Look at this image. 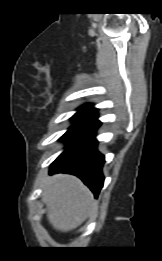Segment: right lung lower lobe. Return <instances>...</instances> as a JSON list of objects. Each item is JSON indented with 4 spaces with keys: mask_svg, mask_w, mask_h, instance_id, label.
<instances>
[{
    "mask_svg": "<svg viewBox=\"0 0 162 261\" xmlns=\"http://www.w3.org/2000/svg\"><path fill=\"white\" fill-rule=\"evenodd\" d=\"M101 122L94 113L77 122L60 138L66 142L65 151L50 166L51 173L78 176L97 197L104 183V155L97 151L95 131Z\"/></svg>",
    "mask_w": 162,
    "mask_h": 261,
    "instance_id": "right-lung-lower-lobe-1",
    "label": "right lung lower lobe"
}]
</instances>
